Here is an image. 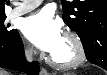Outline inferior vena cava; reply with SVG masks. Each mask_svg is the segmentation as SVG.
Returning <instances> with one entry per match:
<instances>
[{
	"label": "inferior vena cava",
	"instance_id": "obj_1",
	"mask_svg": "<svg viewBox=\"0 0 107 75\" xmlns=\"http://www.w3.org/2000/svg\"><path fill=\"white\" fill-rule=\"evenodd\" d=\"M34 49L31 47H28V48H26V50H25V58H26V60L28 61V62H31L32 61V56H33V54H34Z\"/></svg>",
	"mask_w": 107,
	"mask_h": 75
}]
</instances>
